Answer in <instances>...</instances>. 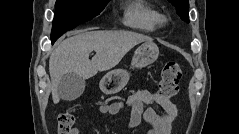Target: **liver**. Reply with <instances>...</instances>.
<instances>
[{
	"instance_id": "6515ba94",
	"label": "liver",
	"mask_w": 239,
	"mask_h": 134,
	"mask_svg": "<svg viewBox=\"0 0 239 134\" xmlns=\"http://www.w3.org/2000/svg\"><path fill=\"white\" fill-rule=\"evenodd\" d=\"M151 41V38L129 31L81 32L63 40L52 52L49 59L52 99L60 101L57 88L60 80L69 73L89 79L98 71L115 67L134 46ZM96 55L90 60L92 51Z\"/></svg>"
}]
</instances>
